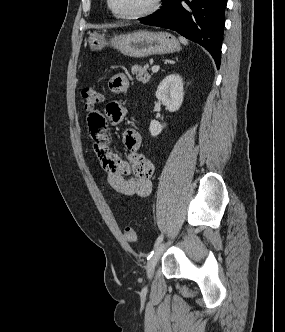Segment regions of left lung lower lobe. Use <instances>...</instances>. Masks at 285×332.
Here are the masks:
<instances>
[{
  "label": "left lung lower lobe",
  "mask_w": 285,
  "mask_h": 332,
  "mask_svg": "<svg viewBox=\"0 0 285 332\" xmlns=\"http://www.w3.org/2000/svg\"><path fill=\"white\" fill-rule=\"evenodd\" d=\"M226 4L227 0H164L161 10L140 21L197 42L209 51L219 69Z\"/></svg>",
  "instance_id": "1"
}]
</instances>
